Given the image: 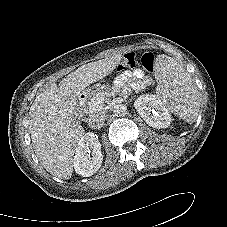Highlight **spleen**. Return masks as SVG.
Wrapping results in <instances>:
<instances>
[{"label": "spleen", "mask_w": 227, "mask_h": 227, "mask_svg": "<svg viewBox=\"0 0 227 227\" xmlns=\"http://www.w3.org/2000/svg\"><path fill=\"white\" fill-rule=\"evenodd\" d=\"M158 81L157 95L166 108L188 123H193L199 115L201 98L198 87L175 59L159 55L155 67Z\"/></svg>", "instance_id": "obj_1"}]
</instances>
